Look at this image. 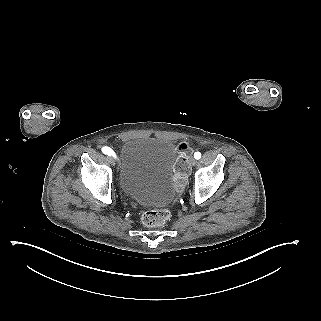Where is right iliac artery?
Returning a JSON list of instances; mask_svg holds the SVG:
<instances>
[{
    "label": "right iliac artery",
    "instance_id": "right-iliac-artery-1",
    "mask_svg": "<svg viewBox=\"0 0 321 321\" xmlns=\"http://www.w3.org/2000/svg\"><path fill=\"white\" fill-rule=\"evenodd\" d=\"M102 152L104 153V154H106V155H109V156H115V154H114V151L111 149V148H109V147H103L102 148Z\"/></svg>",
    "mask_w": 321,
    "mask_h": 321
}]
</instances>
